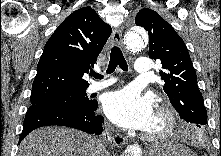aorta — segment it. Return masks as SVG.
Here are the masks:
<instances>
[{
  "label": "aorta",
  "mask_w": 221,
  "mask_h": 156,
  "mask_svg": "<svg viewBox=\"0 0 221 156\" xmlns=\"http://www.w3.org/2000/svg\"><path fill=\"white\" fill-rule=\"evenodd\" d=\"M124 42L128 50L137 52L148 44V35L142 28L133 27L126 32ZM124 156H141V152H126Z\"/></svg>",
  "instance_id": "1"
}]
</instances>
